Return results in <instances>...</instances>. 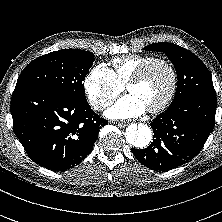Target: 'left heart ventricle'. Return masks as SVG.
<instances>
[{"mask_svg":"<svg viewBox=\"0 0 222 222\" xmlns=\"http://www.w3.org/2000/svg\"><path fill=\"white\" fill-rule=\"evenodd\" d=\"M171 84L169 70L160 64L153 66L139 83L131 84L130 93L138 96L146 108L158 105L167 95Z\"/></svg>","mask_w":222,"mask_h":222,"instance_id":"obj_1","label":"left heart ventricle"}]
</instances>
